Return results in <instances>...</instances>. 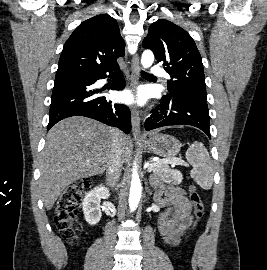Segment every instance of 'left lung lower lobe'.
<instances>
[{
	"label": "left lung lower lobe",
	"mask_w": 267,
	"mask_h": 270,
	"mask_svg": "<svg viewBox=\"0 0 267 270\" xmlns=\"http://www.w3.org/2000/svg\"><path fill=\"white\" fill-rule=\"evenodd\" d=\"M172 125H191L210 137V117L207 102L197 99L176 97L161 99L145 122L147 131Z\"/></svg>",
	"instance_id": "obj_1"
}]
</instances>
